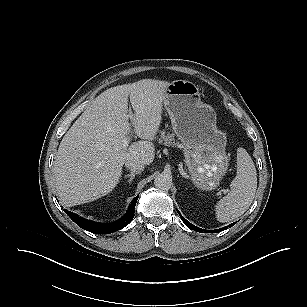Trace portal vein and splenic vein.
Returning <instances> with one entry per match:
<instances>
[{
	"instance_id": "18ae733b",
	"label": "portal vein and splenic vein",
	"mask_w": 307,
	"mask_h": 307,
	"mask_svg": "<svg viewBox=\"0 0 307 307\" xmlns=\"http://www.w3.org/2000/svg\"><path fill=\"white\" fill-rule=\"evenodd\" d=\"M131 119L133 120L134 117L133 115H130ZM131 141V137H125L123 140H122V143H121V148L122 149H127V147L129 146V142Z\"/></svg>"
}]
</instances>
